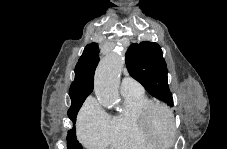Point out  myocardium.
I'll return each mask as SVG.
<instances>
[{
	"instance_id": "myocardium-1",
	"label": "myocardium",
	"mask_w": 227,
	"mask_h": 149,
	"mask_svg": "<svg viewBox=\"0 0 227 149\" xmlns=\"http://www.w3.org/2000/svg\"><path fill=\"white\" fill-rule=\"evenodd\" d=\"M162 111L169 122L170 137L165 143L159 142L153 135L151 130V119L155 112ZM139 128L145 139L153 146H172L176 140V126L174 115L169 107L164 104L151 103L141 109L138 115Z\"/></svg>"
}]
</instances>
